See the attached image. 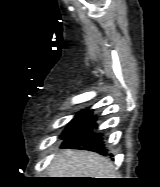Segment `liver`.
<instances>
[{
    "label": "liver",
    "mask_w": 160,
    "mask_h": 187,
    "mask_svg": "<svg viewBox=\"0 0 160 187\" xmlns=\"http://www.w3.org/2000/svg\"><path fill=\"white\" fill-rule=\"evenodd\" d=\"M50 178H115L112 162L99 154L67 149L48 168Z\"/></svg>",
    "instance_id": "1"
}]
</instances>
